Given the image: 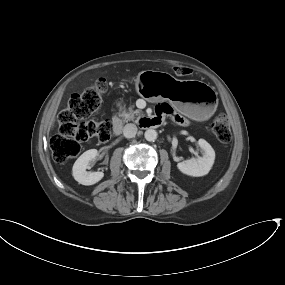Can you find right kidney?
Here are the masks:
<instances>
[{
  "label": "right kidney",
  "instance_id": "right-kidney-1",
  "mask_svg": "<svg viewBox=\"0 0 285 285\" xmlns=\"http://www.w3.org/2000/svg\"><path fill=\"white\" fill-rule=\"evenodd\" d=\"M98 155L96 149H90L84 152L74 163L72 168V176L82 185H93L99 182L103 177V172H87L86 169L90 161Z\"/></svg>",
  "mask_w": 285,
  "mask_h": 285
}]
</instances>
